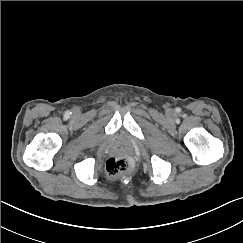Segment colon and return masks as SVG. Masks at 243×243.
Wrapping results in <instances>:
<instances>
[{"mask_svg": "<svg viewBox=\"0 0 243 243\" xmlns=\"http://www.w3.org/2000/svg\"><path fill=\"white\" fill-rule=\"evenodd\" d=\"M131 168V162L126 157L116 156L112 157L107 161L106 172L109 177H118Z\"/></svg>", "mask_w": 243, "mask_h": 243, "instance_id": "colon-1", "label": "colon"}]
</instances>
